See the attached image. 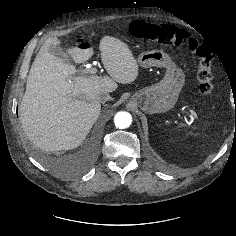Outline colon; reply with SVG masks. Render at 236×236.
Instances as JSON below:
<instances>
[{"label": "colon", "mask_w": 236, "mask_h": 236, "mask_svg": "<svg viewBox=\"0 0 236 236\" xmlns=\"http://www.w3.org/2000/svg\"><path fill=\"white\" fill-rule=\"evenodd\" d=\"M131 33L148 41L170 45L181 46L186 44L200 59L197 81L199 91L204 95H210L214 91L211 73L213 53L209 46L180 28L167 24H153L142 20H135L130 26ZM87 46V44H84Z\"/></svg>", "instance_id": "5ec220e1"}]
</instances>
